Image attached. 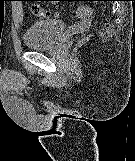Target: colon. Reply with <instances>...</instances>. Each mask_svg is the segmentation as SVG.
Segmentation results:
<instances>
[{
	"label": "colon",
	"instance_id": "obj_1",
	"mask_svg": "<svg viewBox=\"0 0 135 161\" xmlns=\"http://www.w3.org/2000/svg\"><path fill=\"white\" fill-rule=\"evenodd\" d=\"M30 10L34 16L40 18H49L51 16V12L40 5L31 4ZM76 14L78 16H89L92 14V8L88 5H80L77 10Z\"/></svg>",
	"mask_w": 135,
	"mask_h": 161
}]
</instances>
